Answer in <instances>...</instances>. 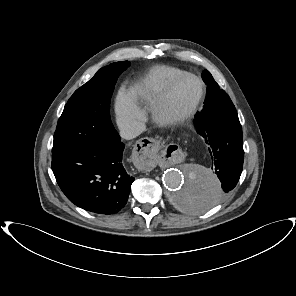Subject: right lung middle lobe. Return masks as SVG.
Returning <instances> with one entry per match:
<instances>
[{
  "instance_id": "dd1d6c3e",
  "label": "right lung middle lobe",
  "mask_w": 296,
  "mask_h": 296,
  "mask_svg": "<svg viewBox=\"0 0 296 296\" xmlns=\"http://www.w3.org/2000/svg\"><path fill=\"white\" fill-rule=\"evenodd\" d=\"M129 65L123 61L105 66L74 92L58 120L52 154L110 144L116 139L110 119V99L117 78Z\"/></svg>"
}]
</instances>
